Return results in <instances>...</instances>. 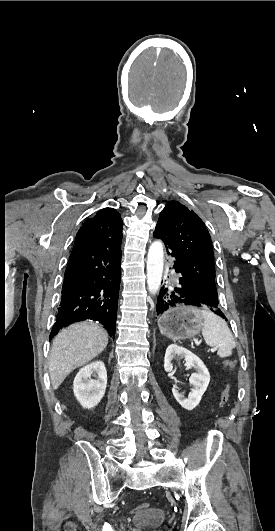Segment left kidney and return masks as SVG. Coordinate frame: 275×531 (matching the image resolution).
I'll return each mask as SVG.
<instances>
[{
	"instance_id": "left-kidney-1",
	"label": "left kidney",
	"mask_w": 275,
	"mask_h": 531,
	"mask_svg": "<svg viewBox=\"0 0 275 531\" xmlns=\"http://www.w3.org/2000/svg\"><path fill=\"white\" fill-rule=\"evenodd\" d=\"M175 355L184 357L187 369H191V367L197 369V373H193L189 379V383L190 385H193L194 389H192V393H190L188 399H185L182 393H178L176 387H173L172 389V393L177 403H179L181 407H184V409H187V411H193V409L199 405L201 397L204 395L210 383L209 371L204 363H202L201 359H199L197 355H194V353H191V351H188V349L178 347V345H169L166 349L164 359V369L166 373H172L173 367L171 361L174 359Z\"/></svg>"
}]
</instances>
